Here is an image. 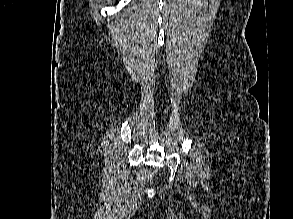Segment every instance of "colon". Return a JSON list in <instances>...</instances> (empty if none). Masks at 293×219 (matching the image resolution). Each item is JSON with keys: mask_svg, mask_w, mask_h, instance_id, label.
Masks as SVG:
<instances>
[{"mask_svg": "<svg viewBox=\"0 0 293 219\" xmlns=\"http://www.w3.org/2000/svg\"><path fill=\"white\" fill-rule=\"evenodd\" d=\"M156 176L155 173L150 172H142L139 174V179L141 181H149Z\"/></svg>", "mask_w": 293, "mask_h": 219, "instance_id": "obj_1", "label": "colon"}]
</instances>
